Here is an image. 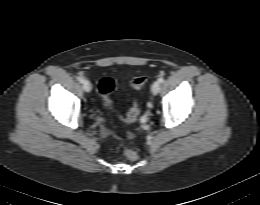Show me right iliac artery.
<instances>
[{
	"mask_svg": "<svg viewBox=\"0 0 260 205\" xmlns=\"http://www.w3.org/2000/svg\"><path fill=\"white\" fill-rule=\"evenodd\" d=\"M77 80H78L80 83H83V82L85 81V80H84V78H83V77H81V76H80V77H78V78H77Z\"/></svg>",
	"mask_w": 260,
	"mask_h": 205,
	"instance_id": "right-iliac-artery-1",
	"label": "right iliac artery"
}]
</instances>
